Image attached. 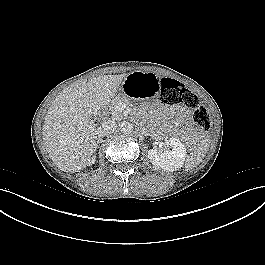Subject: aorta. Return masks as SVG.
<instances>
[{
    "label": "aorta",
    "instance_id": "obj_1",
    "mask_svg": "<svg viewBox=\"0 0 265 265\" xmlns=\"http://www.w3.org/2000/svg\"><path fill=\"white\" fill-rule=\"evenodd\" d=\"M120 129L123 133L125 134H130L133 131V125L130 124L129 122H122L120 125Z\"/></svg>",
    "mask_w": 265,
    "mask_h": 265
}]
</instances>
